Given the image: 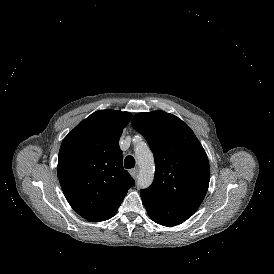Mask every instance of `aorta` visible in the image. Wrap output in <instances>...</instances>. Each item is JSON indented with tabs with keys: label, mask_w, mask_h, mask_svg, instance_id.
<instances>
[{
	"label": "aorta",
	"mask_w": 274,
	"mask_h": 274,
	"mask_svg": "<svg viewBox=\"0 0 274 274\" xmlns=\"http://www.w3.org/2000/svg\"><path fill=\"white\" fill-rule=\"evenodd\" d=\"M135 154L139 165L137 186L139 188H147L151 185L154 178L153 153L148 147L139 145L135 151Z\"/></svg>",
	"instance_id": "1"
}]
</instances>
